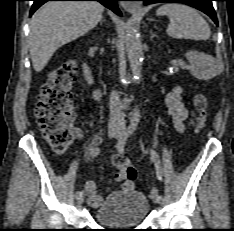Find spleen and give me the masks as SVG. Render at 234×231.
Instances as JSON below:
<instances>
[{
    "label": "spleen",
    "mask_w": 234,
    "mask_h": 231,
    "mask_svg": "<svg viewBox=\"0 0 234 231\" xmlns=\"http://www.w3.org/2000/svg\"><path fill=\"white\" fill-rule=\"evenodd\" d=\"M157 15H166L170 20L167 34L176 39L208 40L211 30L208 23L192 7L167 3L157 10Z\"/></svg>",
    "instance_id": "spleen-1"
}]
</instances>
